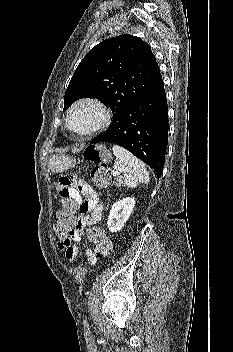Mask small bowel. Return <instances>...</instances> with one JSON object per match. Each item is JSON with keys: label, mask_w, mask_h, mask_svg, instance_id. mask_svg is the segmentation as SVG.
<instances>
[{"label": "small bowel", "mask_w": 233, "mask_h": 352, "mask_svg": "<svg viewBox=\"0 0 233 352\" xmlns=\"http://www.w3.org/2000/svg\"><path fill=\"white\" fill-rule=\"evenodd\" d=\"M59 193L62 197L71 198L77 201L80 205V216L76 222L74 229L69 233L66 243H59V248L65 251L68 259L72 260L79 254H85L90 261H93V253L90 249L80 251L78 246L71 244V242H78L81 240L83 231L86 227L92 226L100 221L102 212V203L96 191L85 183L74 184L71 177H62L58 185ZM80 193H82L86 200L82 201Z\"/></svg>", "instance_id": "c3829d8e"}]
</instances>
